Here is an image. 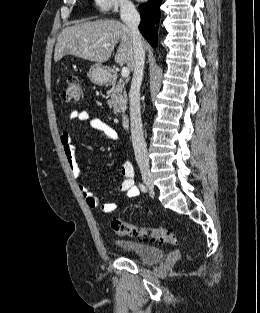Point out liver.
Masks as SVG:
<instances>
[{"label":"liver","instance_id":"1","mask_svg":"<svg viewBox=\"0 0 260 313\" xmlns=\"http://www.w3.org/2000/svg\"><path fill=\"white\" fill-rule=\"evenodd\" d=\"M120 41L115 62L134 70L133 40L129 28L117 20L105 19L77 23L58 36L54 61L73 55L97 63L106 62Z\"/></svg>","mask_w":260,"mask_h":313}]
</instances>
